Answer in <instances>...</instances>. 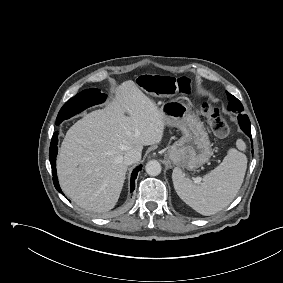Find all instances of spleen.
Instances as JSON below:
<instances>
[{"instance_id":"spleen-1","label":"spleen","mask_w":283,"mask_h":283,"mask_svg":"<svg viewBox=\"0 0 283 283\" xmlns=\"http://www.w3.org/2000/svg\"><path fill=\"white\" fill-rule=\"evenodd\" d=\"M237 149H230L222 163L203 177L200 185L194 184L180 168L172 173L178 196L196 212L208 216L228 206L238 193L247 168L243 140L236 142Z\"/></svg>"}]
</instances>
